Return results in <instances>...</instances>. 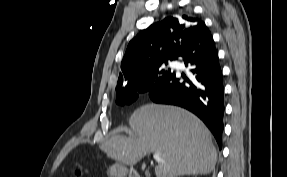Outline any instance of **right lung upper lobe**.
I'll use <instances>...</instances> for the list:
<instances>
[{"label":"right lung upper lobe","mask_w":287,"mask_h":177,"mask_svg":"<svg viewBox=\"0 0 287 177\" xmlns=\"http://www.w3.org/2000/svg\"><path fill=\"white\" fill-rule=\"evenodd\" d=\"M206 29L201 19L191 15L153 23L128 44L117 87L136 84L158 63L178 59L185 45Z\"/></svg>","instance_id":"obj_1"}]
</instances>
